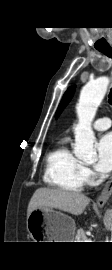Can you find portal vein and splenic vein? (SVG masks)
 Masks as SVG:
<instances>
[{
  "label": "portal vein and splenic vein",
  "instance_id": "1",
  "mask_svg": "<svg viewBox=\"0 0 112 270\" xmlns=\"http://www.w3.org/2000/svg\"><path fill=\"white\" fill-rule=\"evenodd\" d=\"M85 242H92V240H91V239H88V240H86Z\"/></svg>",
  "mask_w": 112,
  "mask_h": 270
}]
</instances>
